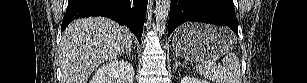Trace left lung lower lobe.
<instances>
[{
  "instance_id": "obj_1",
  "label": "left lung lower lobe",
  "mask_w": 307,
  "mask_h": 83,
  "mask_svg": "<svg viewBox=\"0 0 307 83\" xmlns=\"http://www.w3.org/2000/svg\"><path fill=\"white\" fill-rule=\"evenodd\" d=\"M187 21L227 25L238 34L233 0H171L168 35Z\"/></svg>"
}]
</instances>
